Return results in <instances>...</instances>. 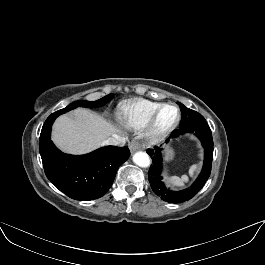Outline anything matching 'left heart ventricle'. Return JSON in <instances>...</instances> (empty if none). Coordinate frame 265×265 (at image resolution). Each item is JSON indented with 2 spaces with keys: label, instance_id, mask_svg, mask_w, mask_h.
I'll return each mask as SVG.
<instances>
[{
  "label": "left heart ventricle",
  "instance_id": "b2bd125f",
  "mask_svg": "<svg viewBox=\"0 0 265 265\" xmlns=\"http://www.w3.org/2000/svg\"><path fill=\"white\" fill-rule=\"evenodd\" d=\"M176 114L177 112L174 107L165 108L158 118V126L160 128L167 127L174 121Z\"/></svg>",
  "mask_w": 265,
  "mask_h": 265
}]
</instances>
